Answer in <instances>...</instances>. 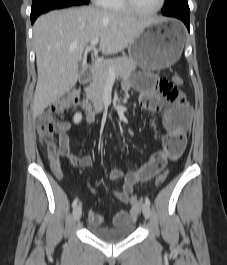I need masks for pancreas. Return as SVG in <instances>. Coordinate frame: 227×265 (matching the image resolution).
I'll list each match as a JSON object with an SVG mask.
<instances>
[{"label":"pancreas","instance_id":"pancreas-1","mask_svg":"<svg viewBox=\"0 0 227 265\" xmlns=\"http://www.w3.org/2000/svg\"><path fill=\"white\" fill-rule=\"evenodd\" d=\"M115 68L117 77H127L136 69V63L128 57H116L96 64L92 70V82L86 89V94L97 106H103V94L109 77V68Z\"/></svg>","mask_w":227,"mask_h":265}]
</instances>
